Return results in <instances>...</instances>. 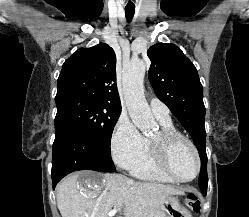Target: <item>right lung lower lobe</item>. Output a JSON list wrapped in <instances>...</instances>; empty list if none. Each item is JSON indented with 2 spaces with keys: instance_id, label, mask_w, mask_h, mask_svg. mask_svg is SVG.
<instances>
[{
  "instance_id": "1",
  "label": "right lung lower lobe",
  "mask_w": 249,
  "mask_h": 217,
  "mask_svg": "<svg viewBox=\"0 0 249 217\" xmlns=\"http://www.w3.org/2000/svg\"><path fill=\"white\" fill-rule=\"evenodd\" d=\"M114 171L115 167L106 150L68 122H55L53 144V188L67 174L78 170Z\"/></svg>"
}]
</instances>
